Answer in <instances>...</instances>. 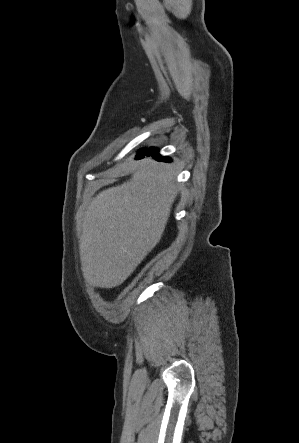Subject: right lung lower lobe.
<instances>
[{"instance_id":"right-lung-lower-lobe-1","label":"right lung lower lobe","mask_w":299,"mask_h":443,"mask_svg":"<svg viewBox=\"0 0 299 443\" xmlns=\"http://www.w3.org/2000/svg\"><path fill=\"white\" fill-rule=\"evenodd\" d=\"M152 156L158 161H165L170 162L171 159L169 157H163L158 153V150L156 148H150V149H143L141 150L138 155L136 156V159L144 158V156Z\"/></svg>"}]
</instances>
